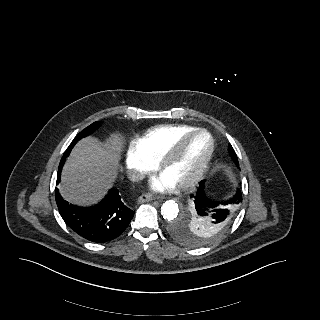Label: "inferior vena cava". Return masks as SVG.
<instances>
[{"instance_id": "1", "label": "inferior vena cava", "mask_w": 320, "mask_h": 320, "mask_svg": "<svg viewBox=\"0 0 320 320\" xmlns=\"http://www.w3.org/2000/svg\"><path fill=\"white\" fill-rule=\"evenodd\" d=\"M127 176L131 181L135 182H138L144 178V174L137 171H129Z\"/></svg>"}]
</instances>
